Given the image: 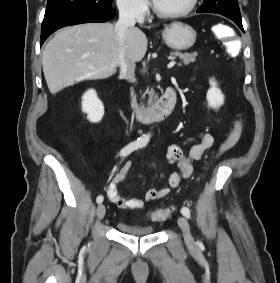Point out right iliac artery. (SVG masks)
<instances>
[{"label": "right iliac artery", "mask_w": 280, "mask_h": 283, "mask_svg": "<svg viewBox=\"0 0 280 283\" xmlns=\"http://www.w3.org/2000/svg\"><path fill=\"white\" fill-rule=\"evenodd\" d=\"M142 146V143L139 141H134L130 144H128L127 146H125L121 151H120V156H127L129 155L131 152H133L134 150H137L138 148H140ZM104 197L102 195H99L96 198V201L98 204L103 202Z\"/></svg>", "instance_id": "1"}]
</instances>
